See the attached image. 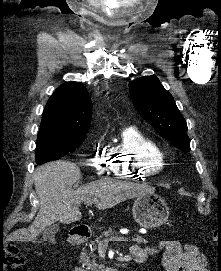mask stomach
<instances>
[{
	"mask_svg": "<svg viewBox=\"0 0 221 271\" xmlns=\"http://www.w3.org/2000/svg\"><path fill=\"white\" fill-rule=\"evenodd\" d=\"M132 215L141 227L155 229L166 223L169 217V207L159 195H139L132 205Z\"/></svg>",
	"mask_w": 221,
	"mask_h": 271,
	"instance_id": "stomach-1",
	"label": "stomach"
}]
</instances>
